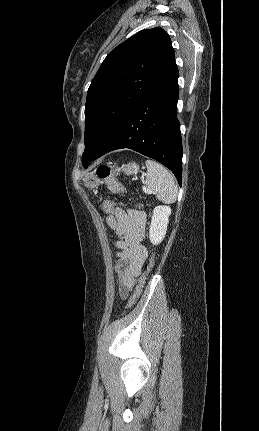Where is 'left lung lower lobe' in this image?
<instances>
[{
	"mask_svg": "<svg viewBox=\"0 0 259 431\" xmlns=\"http://www.w3.org/2000/svg\"><path fill=\"white\" fill-rule=\"evenodd\" d=\"M178 77L174 62L160 81L120 120L93 160L113 150L132 149L165 165L181 185L183 151L177 119Z\"/></svg>",
	"mask_w": 259,
	"mask_h": 431,
	"instance_id": "0a47b994",
	"label": "left lung lower lobe"
}]
</instances>
